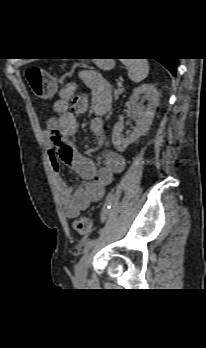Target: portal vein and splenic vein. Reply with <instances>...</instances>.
<instances>
[{"label":"portal vein and splenic vein","instance_id":"portal-vein-and-splenic-vein-1","mask_svg":"<svg viewBox=\"0 0 206 348\" xmlns=\"http://www.w3.org/2000/svg\"><path fill=\"white\" fill-rule=\"evenodd\" d=\"M117 85H118L119 87L122 86V82L119 81V82L117 83Z\"/></svg>","mask_w":206,"mask_h":348}]
</instances>
